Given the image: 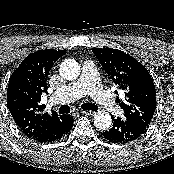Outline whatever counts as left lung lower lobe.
<instances>
[{"label": "left lung lower lobe", "instance_id": "left-lung-lower-lobe-1", "mask_svg": "<svg viewBox=\"0 0 174 174\" xmlns=\"http://www.w3.org/2000/svg\"><path fill=\"white\" fill-rule=\"evenodd\" d=\"M112 118V127L109 130L101 133V135L111 143L122 144L131 142L139 138L148 129V126L135 121H128L123 118Z\"/></svg>", "mask_w": 174, "mask_h": 174}]
</instances>
